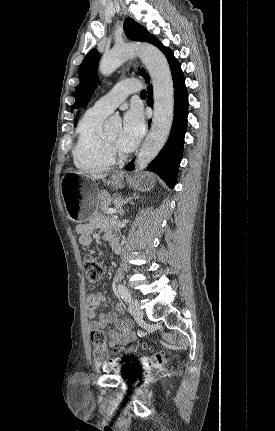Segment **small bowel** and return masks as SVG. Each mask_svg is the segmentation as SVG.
Listing matches in <instances>:
<instances>
[{
  "mask_svg": "<svg viewBox=\"0 0 275 431\" xmlns=\"http://www.w3.org/2000/svg\"><path fill=\"white\" fill-rule=\"evenodd\" d=\"M99 227L104 230L105 239L116 245V240L111 235L110 226L100 218H95L88 223L80 224L76 227L80 244L83 246L90 245L92 242L91 234L94 229ZM101 308L105 309V311L100 314L98 319H95L97 311ZM121 313L122 309L120 306H117L115 310H108L106 298L101 293L91 294L87 298V314L91 318L88 327L91 331L106 329L111 347L127 345L135 338L131 322L122 320L120 318Z\"/></svg>",
  "mask_w": 275,
  "mask_h": 431,
  "instance_id": "small-bowel-1",
  "label": "small bowel"
}]
</instances>
